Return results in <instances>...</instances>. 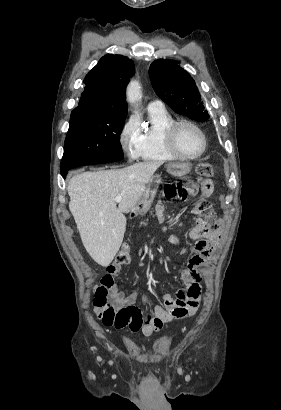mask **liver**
I'll return each instance as SVG.
<instances>
[{
    "label": "liver",
    "instance_id": "liver-1",
    "mask_svg": "<svg viewBox=\"0 0 281 410\" xmlns=\"http://www.w3.org/2000/svg\"><path fill=\"white\" fill-rule=\"evenodd\" d=\"M161 164L147 161L123 169L84 172L70 179V212L86 251L99 265L106 267L114 259L126 230L124 213L134 208ZM117 196L122 197L118 206Z\"/></svg>",
    "mask_w": 281,
    "mask_h": 410
}]
</instances>
